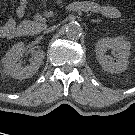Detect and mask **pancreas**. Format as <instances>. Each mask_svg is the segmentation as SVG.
<instances>
[{
	"mask_svg": "<svg viewBox=\"0 0 135 135\" xmlns=\"http://www.w3.org/2000/svg\"><path fill=\"white\" fill-rule=\"evenodd\" d=\"M42 21V19L40 20ZM22 27H24L28 34H36L39 33L41 30L45 28V23L43 22H34L25 20L22 24Z\"/></svg>",
	"mask_w": 135,
	"mask_h": 135,
	"instance_id": "cf45deb5",
	"label": "pancreas"
}]
</instances>
